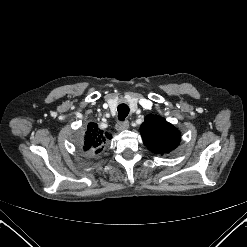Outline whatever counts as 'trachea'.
<instances>
[{
    "instance_id": "3493384b",
    "label": "trachea",
    "mask_w": 247,
    "mask_h": 247,
    "mask_svg": "<svg viewBox=\"0 0 247 247\" xmlns=\"http://www.w3.org/2000/svg\"><path fill=\"white\" fill-rule=\"evenodd\" d=\"M117 111L119 120L124 121V119L129 114V107L126 104L122 103L117 107Z\"/></svg>"
}]
</instances>
